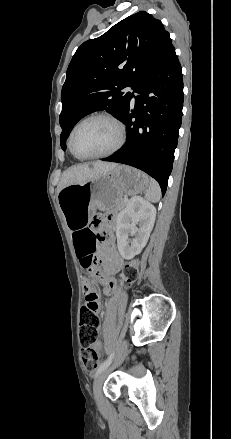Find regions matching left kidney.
I'll return each mask as SVG.
<instances>
[{
    "instance_id": "left-kidney-1",
    "label": "left kidney",
    "mask_w": 231,
    "mask_h": 439,
    "mask_svg": "<svg viewBox=\"0 0 231 439\" xmlns=\"http://www.w3.org/2000/svg\"><path fill=\"white\" fill-rule=\"evenodd\" d=\"M155 218L156 208L142 197L134 196L127 202L116 221L117 246L124 259H132L146 246Z\"/></svg>"
}]
</instances>
